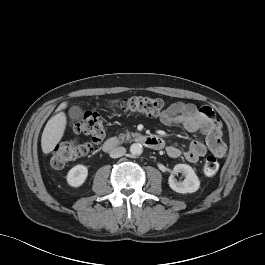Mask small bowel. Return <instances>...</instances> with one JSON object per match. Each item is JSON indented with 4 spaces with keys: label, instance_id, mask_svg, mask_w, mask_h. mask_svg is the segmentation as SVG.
Instances as JSON below:
<instances>
[{
    "label": "small bowel",
    "instance_id": "small-bowel-1",
    "mask_svg": "<svg viewBox=\"0 0 265 265\" xmlns=\"http://www.w3.org/2000/svg\"><path fill=\"white\" fill-rule=\"evenodd\" d=\"M160 121L165 126L179 125L188 132H201L205 136V142L194 140L184 152L176 146H167L166 151L171 158L182 155L188 162L196 163L207 152L218 158L226 155V145L222 141V126L210 106L198 107L192 103L174 102L168 106Z\"/></svg>",
    "mask_w": 265,
    "mask_h": 265
}]
</instances>
